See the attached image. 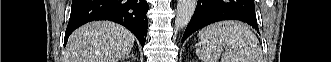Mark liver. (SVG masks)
<instances>
[{
    "mask_svg": "<svg viewBox=\"0 0 331 62\" xmlns=\"http://www.w3.org/2000/svg\"><path fill=\"white\" fill-rule=\"evenodd\" d=\"M134 41V35L119 24L90 22L71 34L64 62H118L128 56Z\"/></svg>",
    "mask_w": 331,
    "mask_h": 62,
    "instance_id": "1",
    "label": "liver"
}]
</instances>
